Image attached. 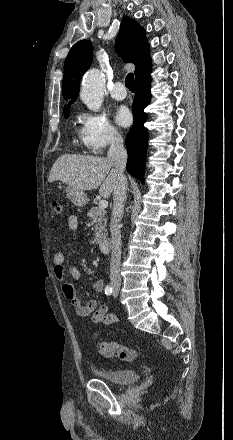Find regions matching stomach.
<instances>
[{
  "label": "stomach",
  "instance_id": "stomach-1",
  "mask_svg": "<svg viewBox=\"0 0 233 440\" xmlns=\"http://www.w3.org/2000/svg\"><path fill=\"white\" fill-rule=\"evenodd\" d=\"M66 197L77 207H83L88 202L86 193L70 186L65 188Z\"/></svg>",
  "mask_w": 233,
  "mask_h": 440
}]
</instances>
